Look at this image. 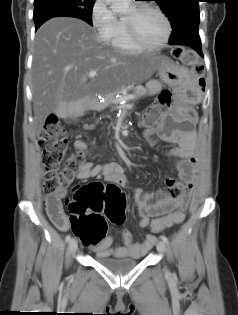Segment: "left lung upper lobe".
Segmentation results:
<instances>
[{
	"label": "left lung upper lobe",
	"mask_w": 238,
	"mask_h": 315,
	"mask_svg": "<svg viewBox=\"0 0 238 315\" xmlns=\"http://www.w3.org/2000/svg\"><path fill=\"white\" fill-rule=\"evenodd\" d=\"M164 14L169 17L172 26L171 40L184 34L198 31L200 22L199 0H154Z\"/></svg>",
	"instance_id": "5c2ea615"
}]
</instances>
